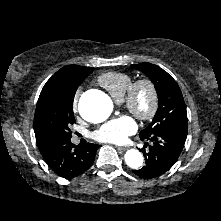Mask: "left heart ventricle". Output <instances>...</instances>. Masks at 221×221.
I'll return each mask as SVG.
<instances>
[{
	"label": "left heart ventricle",
	"instance_id": "left-heart-ventricle-1",
	"mask_svg": "<svg viewBox=\"0 0 221 221\" xmlns=\"http://www.w3.org/2000/svg\"><path fill=\"white\" fill-rule=\"evenodd\" d=\"M137 106L142 109L146 110L149 106V95L146 89H141L137 94Z\"/></svg>",
	"mask_w": 221,
	"mask_h": 221
}]
</instances>
